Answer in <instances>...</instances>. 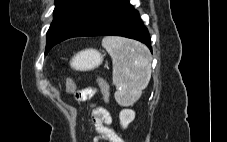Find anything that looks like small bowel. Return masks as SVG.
<instances>
[{"label":"small bowel","mask_w":227,"mask_h":142,"mask_svg":"<svg viewBox=\"0 0 227 142\" xmlns=\"http://www.w3.org/2000/svg\"><path fill=\"white\" fill-rule=\"evenodd\" d=\"M98 90L96 87H87L77 91L74 97L77 101L83 102L96 96ZM91 121L100 135L95 138L94 142L105 140L108 142H125L119 135H117L109 125L112 123V117L109 111L103 107L97 106L95 103L92 105Z\"/></svg>","instance_id":"c3829d8e"}]
</instances>
